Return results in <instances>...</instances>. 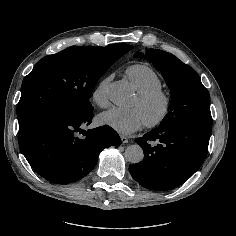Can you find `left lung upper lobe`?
I'll list each match as a JSON object with an SVG mask.
<instances>
[{
  "label": "left lung upper lobe",
  "instance_id": "5c2ea615",
  "mask_svg": "<svg viewBox=\"0 0 236 236\" xmlns=\"http://www.w3.org/2000/svg\"><path fill=\"white\" fill-rule=\"evenodd\" d=\"M134 57H145L152 62L162 72L170 88L168 114L159 128L188 123L212 126L209 93L193 68L174 55L158 49L147 50L145 56L137 52Z\"/></svg>",
  "mask_w": 236,
  "mask_h": 236
}]
</instances>
